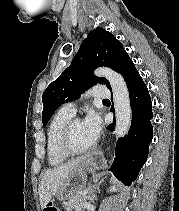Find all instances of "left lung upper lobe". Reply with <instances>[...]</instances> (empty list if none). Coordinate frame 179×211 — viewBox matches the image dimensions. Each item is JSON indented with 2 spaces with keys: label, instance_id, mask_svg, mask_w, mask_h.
I'll return each instance as SVG.
<instances>
[{
  "label": "left lung upper lobe",
  "instance_id": "1",
  "mask_svg": "<svg viewBox=\"0 0 179 211\" xmlns=\"http://www.w3.org/2000/svg\"><path fill=\"white\" fill-rule=\"evenodd\" d=\"M127 55L122 43L112 33L103 28L90 31L70 66L43 93V126L60 105L78 99L92 85L100 83L110 88L107 79L92 75L93 70L107 66L118 71Z\"/></svg>",
  "mask_w": 179,
  "mask_h": 211
}]
</instances>
